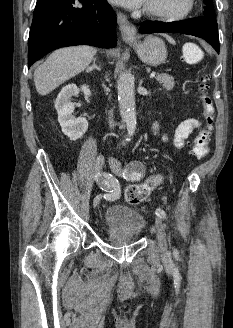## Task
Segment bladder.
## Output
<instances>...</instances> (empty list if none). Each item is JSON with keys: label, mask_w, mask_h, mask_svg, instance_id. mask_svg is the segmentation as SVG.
Here are the masks:
<instances>
[{"label": "bladder", "mask_w": 233, "mask_h": 328, "mask_svg": "<svg viewBox=\"0 0 233 328\" xmlns=\"http://www.w3.org/2000/svg\"><path fill=\"white\" fill-rule=\"evenodd\" d=\"M103 221L108 234L126 235L130 239H135L146 223L140 212L122 204L106 208Z\"/></svg>", "instance_id": "obj_1"}]
</instances>
